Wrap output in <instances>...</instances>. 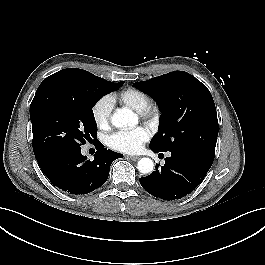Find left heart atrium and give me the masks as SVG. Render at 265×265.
Returning a JSON list of instances; mask_svg holds the SVG:
<instances>
[{
	"label": "left heart atrium",
	"mask_w": 265,
	"mask_h": 265,
	"mask_svg": "<svg viewBox=\"0 0 265 265\" xmlns=\"http://www.w3.org/2000/svg\"><path fill=\"white\" fill-rule=\"evenodd\" d=\"M149 139L146 128L138 126L129 130H119L107 137V144L114 150L124 153H136Z\"/></svg>",
	"instance_id": "left-heart-atrium-1"
}]
</instances>
